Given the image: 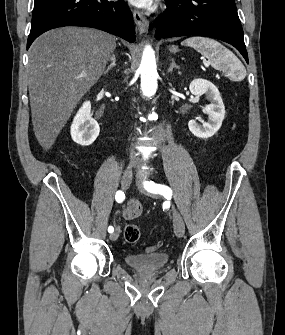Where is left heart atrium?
<instances>
[{"label":"left heart atrium","mask_w":285,"mask_h":335,"mask_svg":"<svg viewBox=\"0 0 285 335\" xmlns=\"http://www.w3.org/2000/svg\"><path fill=\"white\" fill-rule=\"evenodd\" d=\"M130 2L139 7H147L152 1H130Z\"/></svg>","instance_id":"1"}]
</instances>
